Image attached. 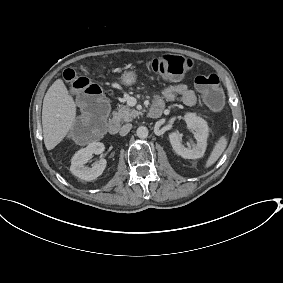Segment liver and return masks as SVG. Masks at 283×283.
I'll return each mask as SVG.
<instances>
[{"mask_svg":"<svg viewBox=\"0 0 283 283\" xmlns=\"http://www.w3.org/2000/svg\"><path fill=\"white\" fill-rule=\"evenodd\" d=\"M77 120V105L64 81L59 78L46 93L42 109L44 144L53 150L70 131Z\"/></svg>","mask_w":283,"mask_h":283,"instance_id":"1","label":"liver"}]
</instances>
